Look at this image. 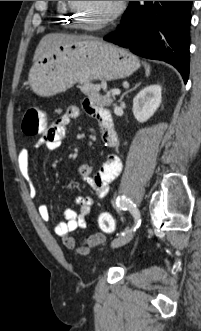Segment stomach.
<instances>
[{"label": "stomach", "instance_id": "1", "mask_svg": "<svg viewBox=\"0 0 201 331\" xmlns=\"http://www.w3.org/2000/svg\"><path fill=\"white\" fill-rule=\"evenodd\" d=\"M140 67L136 56L101 39L63 43L38 58L29 74L33 91L42 97L64 92L77 82L111 81Z\"/></svg>", "mask_w": 201, "mask_h": 331}]
</instances>
